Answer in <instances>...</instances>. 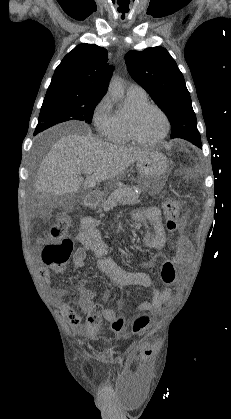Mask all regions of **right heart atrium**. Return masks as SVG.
Listing matches in <instances>:
<instances>
[{"instance_id":"obj_1","label":"right heart atrium","mask_w":231,"mask_h":419,"mask_svg":"<svg viewBox=\"0 0 231 419\" xmlns=\"http://www.w3.org/2000/svg\"><path fill=\"white\" fill-rule=\"evenodd\" d=\"M93 122L103 138L113 140L117 132V116L109 95H104L94 107Z\"/></svg>"}]
</instances>
